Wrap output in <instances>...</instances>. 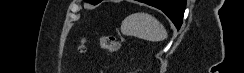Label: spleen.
I'll return each mask as SVG.
<instances>
[{
  "instance_id": "1",
  "label": "spleen",
  "mask_w": 244,
  "mask_h": 73,
  "mask_svg": "<svg viewBox=\"0 0 244 73\" xmlns=\"http://www.w3.org/2000/svg\"><path fill=\"white\" fill-rule=\"evenodd\" d=\"M121 32L125 36L152 42H160L167 38L165 27L148 13H135L126 17L121 24Z\"/></svg>"
}]
</instances>
